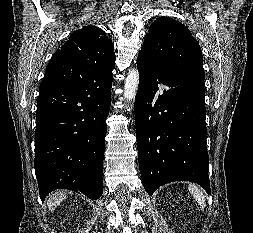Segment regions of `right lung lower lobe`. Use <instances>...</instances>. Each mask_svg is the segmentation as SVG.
<instances>
[{"instance_id":"98d812e1","label":"right lung lower lobe","mask_w":253,"mask_h":233,"mask_svg":"<svg viewBox=\"0 0 253 233\" xmlns=\"http://www.w3.org/2000/svg\"><path fill=\"white\" fill-rule=\"evenodd\" d=\"M111 86L112 71L40 89L34 166L42 201L56 189L101 196Z\"/></svg>"}]
</instances>
